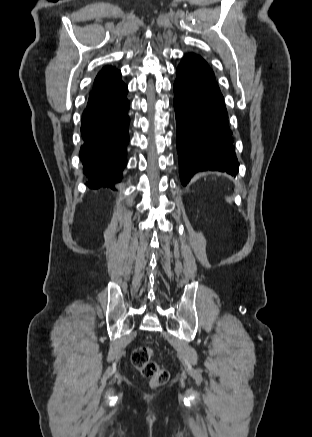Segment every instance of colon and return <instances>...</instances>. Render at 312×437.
Segmentation results:
<instances>
[{
    "label": "colon",
    "instance_id": "1",
    "mask_svg": "<svg viewBox=\"0 0 312 437\" xmlns=\"http://www.w3.org/2000/svg\"><path fill=\"white\" fill-rule=\"evenodd\" d=\"M153 351L148 346L136 348L131 356L133 366L149 380L151 387H158L169 380V372L152 359Z\"/></svg>",
    "mask_w": 312,
    "mask_h": 437
}]
</instances>
